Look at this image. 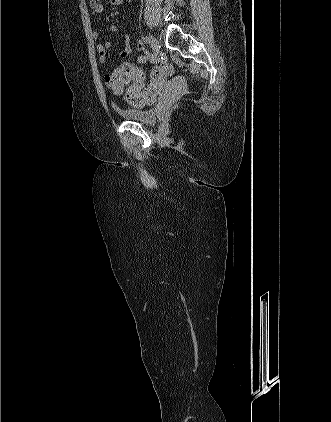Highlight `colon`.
I'll use <instances>...</instances> for the list:
<instances>
[{
    "mask_svg": "<svg viewBox=\"0 0 331 422\" xmlns=\"http://www.w3.org/2000/svg\"><path fill=\"white\" fill-rule=\"evenodd\" d=\"M153 74L156 78L164 79L174 74V69L171 64L161 62L155 66ZM144 76L142 70L130 63H124L117 67L110 75L111 91L120 96L124 93V87L128 83L132 85L126 90L125 97L129 100L135 101L140 104H149L150 99L145 97L135 89L133 84Z\"/></svg>",
    "mask_w": 331,
    "mask_h": 422,
    "instance_id": "obj_1",
    "label": "colon"
}]
</instances>
